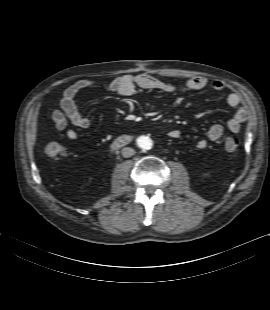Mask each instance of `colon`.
Masks as SVG:
<instances>
[{
    "label": "colon",
    "mask_w": 270,
    "mask_h": 310,
    "mask_svg": "<svg viewBox=\"0 0 270 310\" xmlns=\"http://www.w3.org/2000/svg\"><path fill=\"white\" fill-rule=\"evenodd\" d=\"M239 145V139L234 136L227 137L224 141V147L229 152L237 150ZM45 153L50 158L59 159L64 155L65 148L60 143L56 141H51L46 145Z\"/></svg>",
    "instance_id": "5ec220e1"
}]
</instances>
